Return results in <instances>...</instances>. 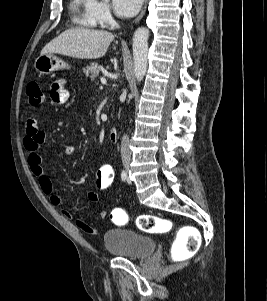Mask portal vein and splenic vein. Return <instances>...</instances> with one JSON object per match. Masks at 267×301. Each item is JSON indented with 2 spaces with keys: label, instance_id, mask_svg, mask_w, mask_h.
<instances>
[{
  "label": "portal vein and splenic vein",
  "instance_id": "obj_1",
  "mask_svg": "<svg viewBox=\"0 0 267 301\" xmlns=\"http://www.w3.org/2000/svg\"><path fill=\"white\" fill-rule=\"evenodd\" d=\"M101 83L104 85L107 83L106 79L105 78H101Z\"/></svg>",
  "mask_w": 267,
  "mask_h": 301
}]
</instances>
